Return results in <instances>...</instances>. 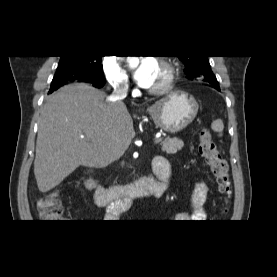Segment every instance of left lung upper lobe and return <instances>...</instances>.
Returning a JSON list of instances; mask_svg holds the SVG:
<instances>
[{"instance_id": "1", "label": "left lung upper lobe", "mask_w": 277, "mask_h": 277, "mask_svg": "<svg viewBox=\"0 0 277 277\" xmlns=\"http://www.w3.org/2000/svg\"><path fill=\"white\" fill-rule=\"evenodd\" d=\"M185 65V73L191 78H202L204 81L218 82L211 70L208 56H178Z\"/></svg>"}]
</instances>
